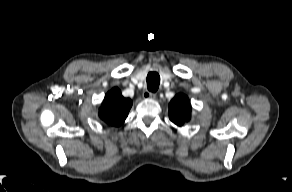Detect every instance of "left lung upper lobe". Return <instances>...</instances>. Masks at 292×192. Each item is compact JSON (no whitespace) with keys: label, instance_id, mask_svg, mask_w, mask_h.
Returning a JSON list of instances; mask_svg holds the SVG:
<instances>
[{"label":"left lung upper lobe","instance_id":"1","mask_svg":"<svg viewBox=\"0 0 292 192\" xmlns=\"http://www.w3.org/2000/svg\"><path fill=\"white\" fill-rule=\"evenodd\" d=\"M169 118L177 126H182L191 118V105L188 97L177 94L169 103Z\"/></svg>","mask_w":292,"mask_h":192}]
</instances>
